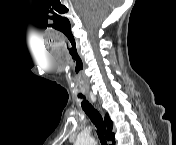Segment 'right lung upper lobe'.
Wrapping results in <instances>:
<instances>
[{
	"label": "right lung upper lobe",
	"instance_id": "obj_1",
	"mask_svg": "<svg viewBox=\"0 0 176 145\" xmlns=\"http://www.w3.org/2000/svg\"><path fill=\"white\" fill-rule=\"evenodd\" d=\"M105 121L107 124V132L105 133L106 139L115 143L114 134L112 133V121L108 114L105 116Z\"/></svg>",
	"mask_w": 176,
	"mask_h": 145
}]
</instances>
